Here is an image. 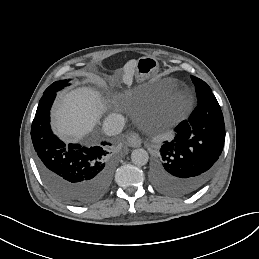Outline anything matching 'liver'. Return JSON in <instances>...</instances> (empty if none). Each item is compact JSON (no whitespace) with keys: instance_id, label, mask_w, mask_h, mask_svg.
Here are the masks:
<instances>
[{"instance_id":"6515ba94","label":"liver","mask_w":259,"mask_h":259,"mask_svg":"<svg viewBox=\"0 0 259 259\" xmlns=\"http://www.w3.org/2000/svg\"><path fill=\"white\" fill-rule=\"evenodd\" d=\"M135 64L125 67L124 82L132 84ZM99 100L89 90L64 94L53 110V126L64 138L81 139L99 122Z\"/></svg>"}]
</instances>
